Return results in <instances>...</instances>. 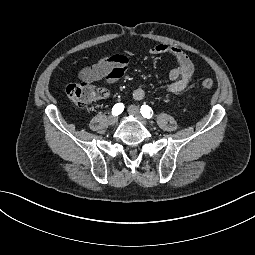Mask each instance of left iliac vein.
Returning a JSON list of instances; mask_svg holds the SVG:
<instances>
[{"mask_svg": "<svg viewBox=\"0 0 255 255\" xmlns=\"http://www.w3.org/2000/svg\"><path fill=\"white\" fill-rule=\"evenodd\" d=\"M128 112H129V114L135 116L143 125H145V126L148 125L147 121L141 116L140 110L137 106L130 105L128 107Z\"/></svg>", "mask_w": 255, "mask_h": 255, "instance_id": "4c4485c4", "label": "left iliac vein"}]
</instances>
